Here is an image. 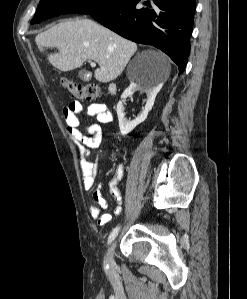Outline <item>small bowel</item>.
<instances>
[{
  "mask_svg": "<svg viewBox=\"0 0 247 299\" xmlns=\"http://www.w3.org/2000/svg\"><path fill=\"white\" fill-rule=\"evenodd\" d=\"M86 110V113L90 117H95L97 123L90 124L85 128L83 132L80 128L79 115ZM63 116L66 123V130L74 142L78 146L81 155V170H82V183L86 191H90L95 186V180L97 177V165L95 161L91 159L93 150L99 148L103 140V132L101 124H107L112 121V115L108 111V108L103 103H92L85 107V105L79 101H71L63 109ZM121 173L118 172L115 179L109 184L110 194L116 202L114 208V214L116 216L122 213V197L118 189V182ZM101 184L93 191V199L95 204L90 207L91 217L98 222L99 225L104 226L108 224L112 216L108 213H104L108 207V202L101 193Z\"/></svg>",
  "mask_w": 247,
  "mask_h": 299,
  "instance_id": "1",
  "label": "small bowel"
}]
</instances>
